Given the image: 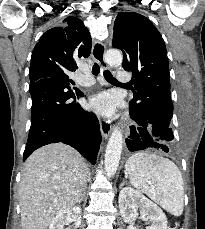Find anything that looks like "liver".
<instances>
[{
	"label": "liver",
	"mask_w": 205,
	"mask_h": 229,
	"mask_svg": "<svg viewBox=\"0 0 205 229\" xmlns=\"http://www.w3.org/2000/svg\"><path fill=\"white\" fill-rule=\"evenodd\" d=\"M87 164L74 148L49 144L24 164L20 182L22 229H47L53 218L79 202Z\"/></svg>",
	"instance_id": "obj_1"
}]
</instances>
